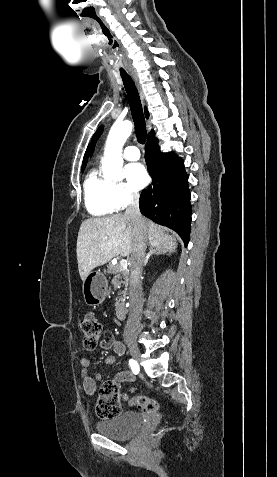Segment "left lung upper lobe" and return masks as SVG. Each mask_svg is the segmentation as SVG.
<instances>
[{
  "mask_svg": "<svg viewBox=\"0 0 277 477\" xmlns=\"http://www.w3.org/2000/svg\"><path fill=\"white\" fill-rule=\"evenodd\" d=\"M102 130H103V127H99L98 130L95 132V134L93 135L92 137V150L94 149V146L96 144V141L98 140V138L100 137V135L102 134Z\"/></svg>",
  "mask_w": 277,
  "mask_h": 477,
  "instance_id": "5c2ea615",
  "label": "left lung upper lobe"
}]
</instances>
